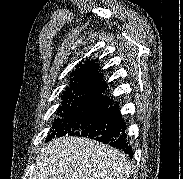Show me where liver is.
I'll list each match as a JSON object with an SVG mask.
<instances>
[{
    "instance_id": "6515ba94",
    "label": "liver",
    "mask_w": 183,
    "mask_h": 179,
    "mask_svg": "<svg viewBox=\"0 0 183 179\" xmlns=\"http://www.w3.org/2000/svg\"><path fill=\"white\" fill-rule=\"evenodd\" d=\"M130 171L119 150L96 140L66 136L42 148L32 179H127Z\"/></svg>"
}]
</instances>
